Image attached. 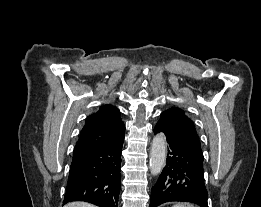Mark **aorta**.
<instances>
[{
	"mask_svg": "<svg viewBox=\"0 0 261 207\" xmlns=\"http://www.w3.org/2000/svg\"><path fill=\"white\" fill-rule=\"evenodd\" d=\"M166 142L163 134H157L153 138L150 151V171L153 176L159 175L165 165Z\"/></svg>",
	"mask_w": 261,
	"mask_h": 207,
	"instance_id": "762f6f07",
	"label": "aorta"
}]
</instances>
